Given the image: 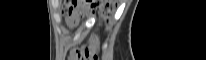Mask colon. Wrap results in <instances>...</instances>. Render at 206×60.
<instances>
[{
  "label": "colon",
  "instance_id": "colon-1",
  "mask_svg": "<svg viewBox=\"0 0 206 60\" xmlns=\"http://www.w3.org/2000/svg\"><path fill=\"white\" fill-rule=\"evenodd\" d=\"M113 6L110 0H67L64 1L63 12L69 16L79 18L85 11H94L97 7L108 9ZM96 43L75 51L78 60L96 59Z\"/></svg>",
  "mask_w": 206,
  "mask_h": 60
}]
</instances>
